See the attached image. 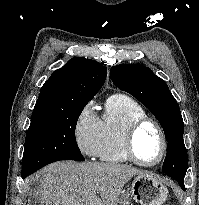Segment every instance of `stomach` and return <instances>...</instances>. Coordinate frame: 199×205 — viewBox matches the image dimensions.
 Returning <instances> with one entry per match:
<instances>
[{
	"instance_id": "0dacf381",
	"label": "stomach",
	"mask_w": 199,
	"mask_h": 205,
	"mask_svg": "<svg viewBox=\"0 0 199 205\" xmlns=\"http://www.w3.org/2000/svg\"><path fill=\"white\" fill-rule=\"evenodd\" d=\"M167 195L168 190L161 180L144 173L137 175L130 192H124L112 205H130L132 199L141 205H162Z\"/></svg>"
}]
</instances>
